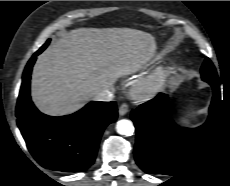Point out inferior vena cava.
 <instances>
[{
	"label": "inferior vena cava",
	"mask_w": 230,
	"mask_h": 186,
	"mask_svg": "<svg viewBox=\"0 0 230 186\" xmlns=\"http://www.w3.org/2000/svg\"><path fill=\"white\" fill-rule=\"evenodd\" d=\"M113 91L114 88L102 90L94 96V100L109 102L114 97Z\"/></svg>",
	"instance_id": "1"
}]
</instances>
